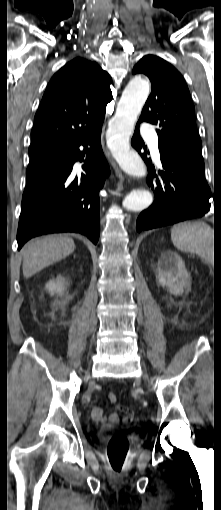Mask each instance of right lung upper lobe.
Segmentation results:
<instances>
[{
    "label": "right lung upper lobe",
    "instance_id": "1",
    "mask_svg": "<svg viewBox=\"0 0 221 510\" xmlns=\"http://www.w3.org/2000/svg\"><path fill=\"white\" fill-rule=\"evenodd\" d=\"M111 82L95 62L75 58L63 66L51 78L35 115L29 153L60 149L103 123Z\"/></svg>",
    "mask_w": 221,
    "mask_h": 510
}]
</instances>
